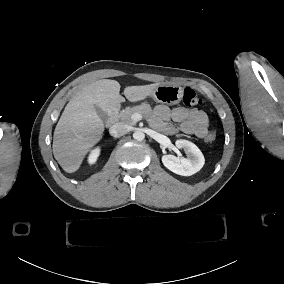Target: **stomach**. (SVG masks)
<instances>
[{"label": "stomach", "instance_id": "0dacf381", "mask_svg": "<svg viewBox=\"0 0 284 284\" xmlns=\"http://www.w3.org/2000/svg\"><path fill=\"white\" fill-rule=\"evenodd\" d=\"M151 96L158 103L176 105L183 97V88L178 85L160 84L154 89Z\"/></svg>", "mask_w": 284, "mask_h": 284}]
</instances>
